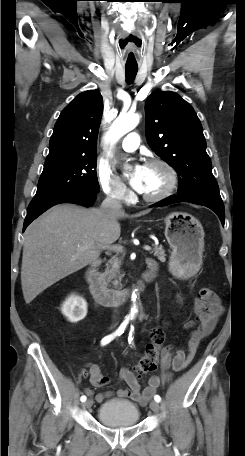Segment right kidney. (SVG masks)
<instances>
[{"mask_svg": "<svg viewBox=\"0 0 245 456\" xmlns=\"http://www.w3.org/2000/svg\"><path fill=\"white\" fill-rule=\"evenodd\" d=\"M62 314L72 323L84 319L87 315V302L83 297L71 295L62 305Z\"/></svg>", "mask_w": 245, "mask_h": 456, "instance_id": "1", "label": "right kidney"}]
</instances>
